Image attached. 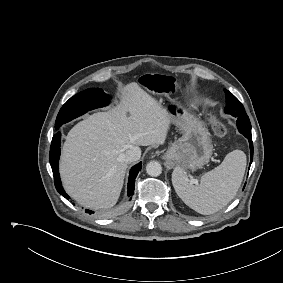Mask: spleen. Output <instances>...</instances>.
Wrapping results in <instances>:
<instances>
[{
	"mask_svg": "<svg viewBox=\"0 0 283 283\" xmlns=\"http://www.w3.org/2000/svg\"><path fill=\"white\" fill-rule=\"evenodd\" d=\"M246 168L241 150L228 153L223 162L205 173L194 185L180 167L172 173V183L181 200L196 212L209 215L226 206L236 195Z\"/></svg>",
	"mask_w": 283,
	"mask_h": 283,
	"instance_id": "obj_1",
	"label": "spleen"
}]
</instances>
